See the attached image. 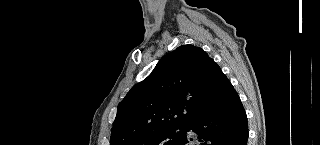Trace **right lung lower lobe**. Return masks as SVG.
Wrapping results in <instances>:
<instances>
[{
  "label": "right lung lower lobe",
  "instance_id": "obj_1",
  "mask_svg": "<svg viewBox=\"0 0 320 145\" xmlns=\"http://www.w3.org/2000/svg\"><path fill=\"white\" fill-rule=\"evenodd\" d=\"M208 112L184 127L177 145H246L248 124L241 100L226 76L216 88Z\"/></svg>",
  "mask_w": 320,
  "mask_h": 145
}]
</instances>
